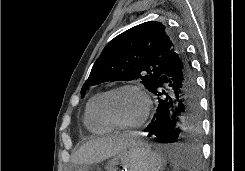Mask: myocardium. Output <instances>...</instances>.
I'll list each match as a JSON object with an SVG mask.
<instances>
[{
  "label": "myocardium",
  "instance_id": "myocardium-1",
  "mask_svg": "<svg viewBox=\"0 0 245 171\" xmlns=\"http://www.w3.org/2000/svg\"><path fill=\"white\" fill-rule=\"evenodd\" d=\"M127 89L135 90L138 93H140V95L143 97L145 102V108L142 117L137 122L132 124H122L115 121L107 111V102L110 96L116 92L127 90ZM151 105H152L151 98L148 92L142 86L133 83H127V84H122L113 87L108 91L104 92L99 101L98 110L103 121L107 123L109 126H111L112 128L118 130H136L141 128L147 122L151 112Z\"/></svg>",
  "mask_w": 245,
  "mask_h": 171
}]
</instances>
